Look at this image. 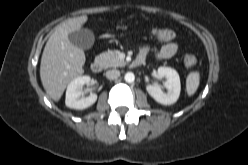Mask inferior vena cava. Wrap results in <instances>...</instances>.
<instances>
[{"mask_svg": "<svg viewBox=\"0 0 248 165\" xmlns=\"http://www.w3.org/2000/svg\"><path fill=\"white\" fill-rule=\"evenodd\" d=\"M119 76H120V71H119V70H116V69L108 70V71L106 72V77H107L109 80H115V79H117Z\"/></svg>", "mask_w": 248, "mask_h": 165, "instance_id": "inferior-vena-cava-1", "label": "inferior vena cava"}]
</instances>
